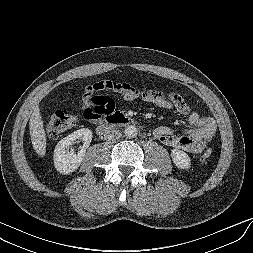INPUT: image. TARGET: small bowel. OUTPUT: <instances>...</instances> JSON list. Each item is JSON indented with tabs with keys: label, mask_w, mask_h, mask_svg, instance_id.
<instances>
[{
	"label": "small bowel",
	"mask_w": 253,
	"mask_h": 253,
	"mask_svg": "<svg viewBox=\"0 0 253 253\" xmlns=\"http://www.w3.org/2000/svg\"><path fill=\"white\" fill-rule=\"evenodd\" d=\"M103 91H111L125 100L141 98L145 102L154 104L159 108L176 110L186 116L187 123L191 129L183 132H176L167 126H159L153 130V135L162 144L182 149L192 155L202 153L216 133L215 121L193 111L183 97L176 93H165L157 89H149L143 92L138 91L132 85L114 80H101L86 86L82 93V104L84 108L83 118L87 122H94L98 119L86 118V113L93 114L97 106H103L109 113L115 111V102L111 97L101 94Z\"/></svg>",
	"instance_id": "obj_1"
}]
</instances>
